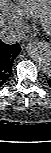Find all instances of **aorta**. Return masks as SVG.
Masks as SVG:
<instances>
[{
    "instance_id": "obj_1",
    "label": "aorta",
    "mask_w": 51,
    "mask_h": 153,
    "mask_svg": "<svg viewBox=\"0 0 51 153\" xmlns=\"http://www.w3.org/2000/svg\"><path fill=\"white\" fill-rule=\"evenodd\" d=\"M29 52L46 75L51 74V51L44 44H31Z\"/></svg>"
}]
</instances>
